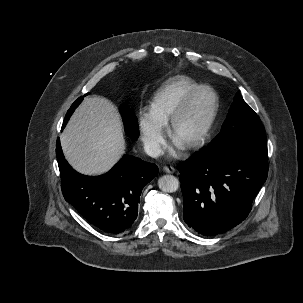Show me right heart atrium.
Wrapping results in <instances>:
<instances>
[{
	"mask_svg": "<svg viewBox=\"0 0 303 303\" xmlns=\"http://www.w3.org/2000/svg\"><path fill=\"white\" fill-rule=\"evenodd\" d=\"M138 126L142 142L147 152L152 156H158L164 147L166 129L153 115L146 110H141L138 115Z\"/></svg>",
	"mask_w": 303,
	"mask_h": 303,
	"instance_id": "obj_1",
	"label": "right heart atrium"
}]
</instances>
